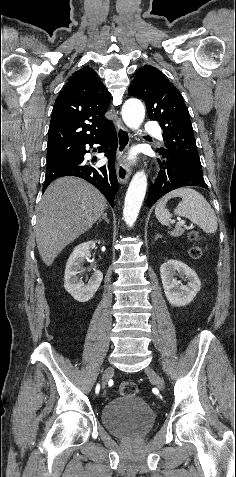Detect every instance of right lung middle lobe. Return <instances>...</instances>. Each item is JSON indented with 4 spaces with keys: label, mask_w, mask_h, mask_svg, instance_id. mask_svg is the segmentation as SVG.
<instances>
[{
    "label": "right lung middle lobe",
    "mask_w": 236,
    "mask_h": 477,
    "mask_svg": "<svg viewBox=\"0 0 236 477\" xmlns=\"http://www.w3.org/2000/svg\"><path fill=\"white\" fill-rule=\"evenodd\" d=\"M58 160H60V159H58V158H54V159H52V161H58Z\"/></svg>",
    "instance_id": "right-lung-middle-lobe-1"
}]
</instances>
